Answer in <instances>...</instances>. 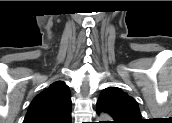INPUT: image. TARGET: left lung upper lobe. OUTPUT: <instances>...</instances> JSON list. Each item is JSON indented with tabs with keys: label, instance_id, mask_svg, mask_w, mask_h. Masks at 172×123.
Instances as JSON below:
<instances>
[{
	"label": "left lung upper lobe",
	"instance_id": "left-lung-upper-lobe-1",
	"mask_svg": "<svg viewBox=\"0 0 172 123\" xmlns=\"http://www.w3.org/2000/svg\"><path fill=\"white\" fill-rule=\"evenodd\" d=\"M96 112L108 113L113 118V123H142L135 99L117 87H108L101 92Z\"/></svg>",
	"mask_w": 172,
	"mask_h": 123
}]
</instances>
